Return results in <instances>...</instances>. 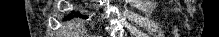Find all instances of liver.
<instances>
[{
	"instance_id": "obj_1",
	"label": "liver",
	"mask_w": 219,
	"mask_h": 37,
	"mask_svg": "<svg viewBox=\"0 0 219 37\" xmlns=\"http://www.w3.org/2000/svg\"><path fill=\"white\" fill-rule=\"evenodd\" d=\"M71 35H86L83 32L72 33ZM71 37H86V36H71Z\"/></svg>"
}]
</instances>
